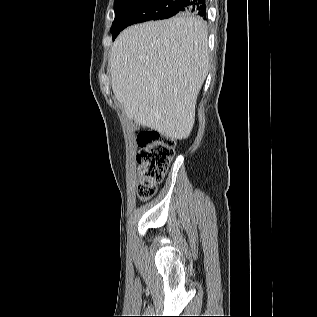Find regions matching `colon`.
<instances>
[{
    "label": "colon",
    "instance_id": "colon-1",
    "mask_svg": "<svg viewBox=\"0 0 317 317\" xmlns=\"http://www.w3.org/2000/svg\"><path fill=\"white\" fill-rule=\"evenodd\" d=\"M137 142L141 148L137 158L140 165L137 194L146 200L155 194L167 172L174 157L175 141L158 131L146 129L138 134Z\"/></svg>",
    "mask_w": 317,
    "mask_h": 317
}]
</instances>
